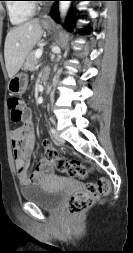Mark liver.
Listing matches in <instances>:
<instances>
[{
	"label": "liver",
	"instance_id": "1",
	"mask_svg": "<svg viewBox=\"0 0 133 253\" xmlns=\"http://www.w3.org/2000/svg\"><path fill=\"white\" fill-rule=\"evenodd\" d=\"M41 36L42 29L38 19L27 21L8 32L4 45V58L10 79L20 70L26 56Z\"/></svg>",
	"mask_w": 133,
	"mask_h": 253
}]
</instances>
